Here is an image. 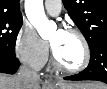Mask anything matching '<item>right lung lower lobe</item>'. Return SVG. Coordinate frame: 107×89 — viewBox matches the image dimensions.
I'll return each mask as SVG.
<instances>
[{"label":"right lung lower lobe","mask_w":107,"mask_h":89,"mask_svg":"<svg viewBox=\"0 0 107 89\" xmlns=\"http://www.w3.org/2000/svg\"><path fill=\"white\" fill-rule=\"evenodd\" d=\"M20 62L16 57H8L0 54V72L14 74L19 68Z\"/></svg>","instance_id":"obj_1"}]
</instances>
